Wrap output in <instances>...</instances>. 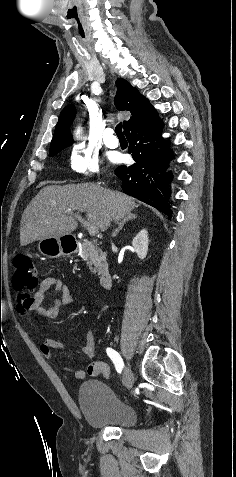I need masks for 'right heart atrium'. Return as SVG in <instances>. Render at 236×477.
<instances>
[{
  "instance_id": "obj_1",
  "label": "right heart atrium",
  "mask_w": 236,
  "mask_h": 477,
  "mask_svg": "<svg viewBox=\"0 0 236 477\" xmlns=\"http://www.w3.org/2000/svg\"><path fill=\"white\" fill-rule=\"evenodd\" d=\"M69 167L76 173L87 176L99 174V160L97 155L81 145L75 146L69 157Z\"/></svg>"
}]
</instances>
